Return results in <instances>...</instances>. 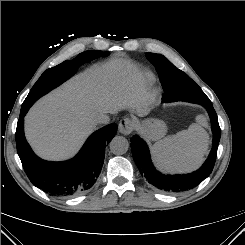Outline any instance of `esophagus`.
I'll return each mask as SVG.
<instances>
[{"mask_svg": "<svg viewBox=\"0 0 245 245\" xmlns=\"http://www.w3.org/2000/svg\"><path fill=\"white\" fill-rule=\"evenodd\" d=\"M135 124L134 122L129 118H123L119 122V132L123 135H129L134 130Z\"/></svg>", "mask_w": 245, "mask_h": 245, "instance_id": "esophagus-1", "label": "esophagus"}]
</instances>
